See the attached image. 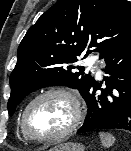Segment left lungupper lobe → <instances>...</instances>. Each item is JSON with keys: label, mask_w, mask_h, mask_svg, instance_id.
Wrapping results in <instances>:
<instances>
[{"label": "left lung upper lobe", "mask_w": 131, "mask_h": 151, "mask_svg": "<svg viewBox=\"0 0 131 151\" xmlns=\"http://www.w3.org/2000/svg\"><path fill=\"white\" fill-rule=\"evenodd\" d=\"M130 40L131 7L126 0H58L29 28L18 47L9 79L10 115L30 92L49 85L78 89L85 98L94 78L75 66L78 57L87 49L84 58L99 52L105 59Z\"/></svg>", "instance_id": "left-lung-upper-lobe-1"}]
</instances>
